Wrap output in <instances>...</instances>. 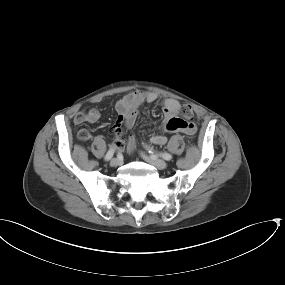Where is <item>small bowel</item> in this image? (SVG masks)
I'll return each instance as SVG.
<instances>
[{
  "instance_id": "obj_1",
  "label": "small bowel",
  "mask_w": 285,
  "mask_h": 285,
  "mask_svg": "<svg viewBox=\"0 0 285 285\" xmlns=\"http://www.w3.org/2000/svg\"><path fill=\"white\" fill-rule=\"evenodd\" d=\"M159 95L156 92L133 91L125 94L116 102L117 118L113 125L114 147L121 149L123 147V128H132L138 116V109L143 103H154L158 100ZM181 104L173 98H165L162 101V111L164 120L161 125L163 132L177 133L185 132L190 122L180 118ZM101 117V113L97 108H91L87 111H78L73 117L75 124L95 123ZM91 136L90 132L82 129L79 132V139L85 141ZM167 138L164 135H154L151 142L156 145H164ZM135 147V138L130 137L127 142V149L132 151Z\"/></svg>"
}]
</instances>
